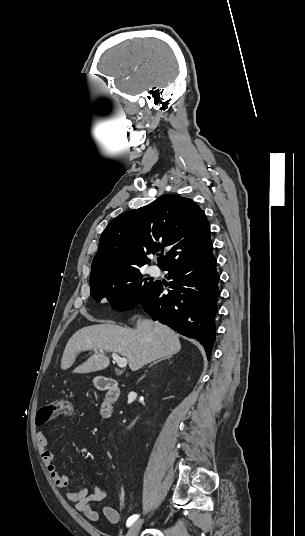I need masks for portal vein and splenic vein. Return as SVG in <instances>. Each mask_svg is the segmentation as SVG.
Returning <instances> with one entry per match:
<instances>
[{
    "instance_id": "obj_1",
    "label": "portal vein and splenic vein",
    "mask_w": 305,
    "mask_h": 536,
    "mask_svg": "<svg viewBox=\"0 0 305 536\" xmlns=\"http://www.w3.org/2000/svg\"><path fill=\"white\" fill-rule=\"evenodd\" d=\"M99 352H103V350H99ZM112 358L115 360V362H117L119 368H125V366H127L126 358H120L118 354H112Z\"/></svg>"
}]
</instances>
